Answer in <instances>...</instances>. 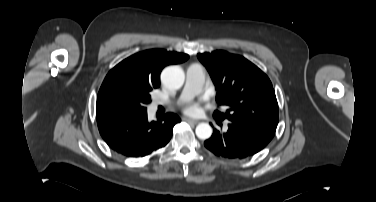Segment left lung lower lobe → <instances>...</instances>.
Masks as SVG:
<instances>
[{"mask_svg":"<svg viewBox=\"0 0 376 202\" xmlns=\"http://www.w3.org/2000/svg\"><path fill=\"white\" fill-rule=\"evenodd\" d=\"M227 132L214 130L204 142L207 149L217 156L242 159L265 148L276 129L253 121L229 120Z\"/></svg>","mask_w":376,"mask_h":202,"instance_id":"1","label":"left lung lower lobe"}]
</instances>
